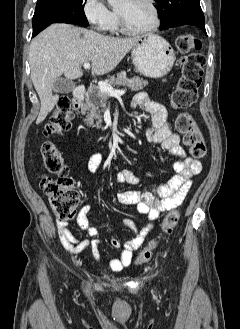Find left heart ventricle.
I'll use <instances>...</instances> for the list:
<instances>
[{
  "mask_svg": "<svg viewBox=\"0 0 240 329\" xmlns=\"http://www.w3.org/2000/svg\"><path fill=\"white\" fill-rule=\"evenodd\" d=\"M117 10L132 29H143L153 22V12L146 0H121Z\"/></svg>",
  "mask_w": 240,
  "mask_h": 329,
  "instance_id": "1",
  "label": "left heart ventricle"
}]
</instances>
